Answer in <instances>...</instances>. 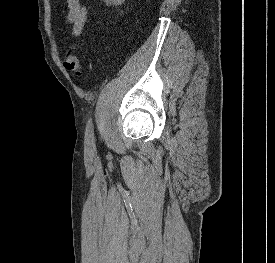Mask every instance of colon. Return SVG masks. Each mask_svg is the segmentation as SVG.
<instances>
[{"label": "colon", "mask_w": 275, "mask_h": 263, "mask_svg": "<svg viewBox=\"0 0 275 263\" xmlns=\"http://www.w3.org/2000/svg\"><path fill=\"white\" fill-rule=\"evenodd\" d=\"M64 66L67 71L77 77H81L85 69L82 55L75 48L69 51Z\"/></svg>", "instance_id": "1"}]
</instances>
